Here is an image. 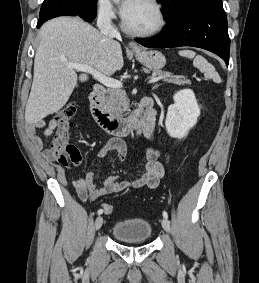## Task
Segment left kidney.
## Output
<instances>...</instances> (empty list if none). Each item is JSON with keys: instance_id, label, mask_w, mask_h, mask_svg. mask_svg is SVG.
Wrapping results in <instances>:
<instances>
[{"instance_id": "1", "label": "left kidney", "mask_w": 259, "mask_h": 283, "mask_svg": "<svg viewBox=\"0 0 259 283\" xmlns=\"http://www.w3.org/2000/svg\"><path fill=\"white\" fill-rule=\"evenodd\" d=\"M174 104L168 107L165 126L168 134L175 139H183L193 128L200 116V108L192 90L183 89L174 97Z\"/></svg>"}]
</instances>
